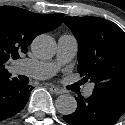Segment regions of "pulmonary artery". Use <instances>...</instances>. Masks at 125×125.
<instances>
[{
  "instance_id": "pulmonary-artery-1",
  "label": "pulmonary artery",
  "mask_w": 125,
  "mask_h": 125,
  "mask_svg": "<svg viewBox=\"0 0 125 125\" xmlns=\"http://www.w3.org/2000/svg\"><path fill=\"white\" fill-rule=\"evenodd\" d=\"M78 42L71 34H62L58 38L56 58L51 61H43L37 59H22L18 62L23 74L38 80L47 79L53 76L58 68L69 62L77 53ZM93 86L86 88L85 96H90Z\"/></svg>"
}]
</instances>
